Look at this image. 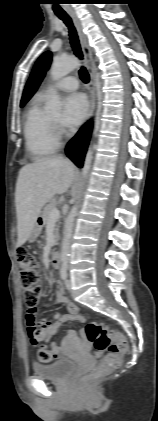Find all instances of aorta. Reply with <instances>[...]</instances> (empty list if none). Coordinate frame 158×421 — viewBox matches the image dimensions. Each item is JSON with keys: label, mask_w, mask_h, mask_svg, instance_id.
I'll use <instances>...</instances> for the list:
<instances>
[{"label": "aorta", "mask_w": 158, "mask_h": 421, "mask_svg": "<svg viewBox=\"0 0 158 421\" xmlns=\"http://www.w3.org/2000/svg\"><path fill=\"white\" fill-rule=\"evenodd\" d=\"M79 65L80 63L78 59L76 58H55L50 69L51 77L54 81H57L63 78L64 76H66L67 74H69L74 69L78 68ZM61 105L62 104H61L59 95L55 91H52L51 99L48 103L49 109L55 112H59L61 110ZM92 159H93V152H92V148L89 147L86 157H85L84 166L82 169L83 178H86L88 175V172L91 167ZM77 211H78V204H75L71 208L65 220L61 256H60L62 263H67L69 260L70 240L72 236L73 223L77 215Z\"/></svg>", "instance_id": "obj_1"}]
</instances>
